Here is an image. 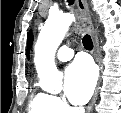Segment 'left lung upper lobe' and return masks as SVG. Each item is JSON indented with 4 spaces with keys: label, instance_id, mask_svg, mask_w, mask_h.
Instances as JSON below:
<instances>
[{
    "label": "left lung upper lobe",
    "instance_id": "5c2ea615",
    "mask_svg": "<svg viewBox=\"0 0 121 113\" xmlns=\"http://www.w3.org/2000/svg\"><path fill=\"white\" fill-rule=\"evenodd\" d=\"M32 41H33V36H32V33H31V31L28 33V47H27V57H29L28 56V54H29V47H30V45H31V43H32Z\"/></svg>",
    "mask_w": 121,
    "mask_h": 113
}]
</instances>
